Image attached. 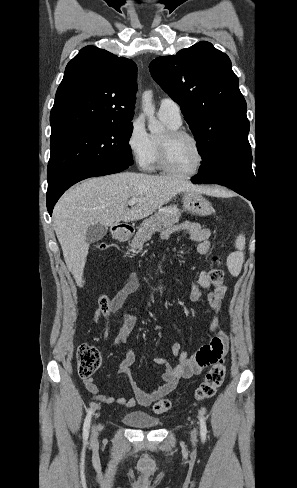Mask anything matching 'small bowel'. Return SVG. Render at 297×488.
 I'll return each mask as SVG.
<instances>
[{
  "label": "small bowel",
  "mask_w": 297,
  "mask_h": 488,
  "mask_svg": "<svg viewBox=\"0 0 297 488\" xmlns=\"http://www.w3.org/2000/svg\"><path fill=\"white\" fill-rule=\"evenodd\" d=\"M184 232L190 240L197 242V251L200 254H207L210 251V230L200 226L198 223L185 221L181 224L170 226L160 234L162 239H168L175 232ZM139 288V279L132 274L124 286L115 294L110 301V311L117 313L121 310L127 299L133 295ZM226 289L222 285L214 286L209 275L202 271L195 281L189 284V297L194 302H205L212 310L209 320V340L202 345L195 354L190 355L186 351H181L179 343H173L172 355L177 359L175 364L169 363L163 357H155L152 361L155 365L164 366L162 381L160 385L149 392L141 390L135 381L129 375L130 367L135 362V353L131 347H128L124 359L118 365V373L124 374L129 379L130 387L133 391V397L109 396L101 393L99 386L92 377L83 378L86 389L96 399L105 404H119L126 407L136 405L148 406L154 401L160 400L170 394L177 387L181 378H191L203 373L208 367L217 363L223 356L228 346V338L220 329V315L222 312V301ZM105 318L101 311H97L94 316L95 321ZM137 320L133 315L124 314L122 317V328L117 338L116 346L123 344L127 337L135 330Z\"/></svg>",
  "instance_id": "c3829d8e"
}]
</instances>
